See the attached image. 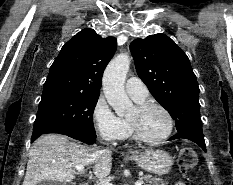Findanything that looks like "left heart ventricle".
Wrapping results in <instances>:
<instances>
[{"label": "left heart ventricle", "instance_id": "obj_1", "mask_svg": "<svg viewBox=\"0 0 233 185\" xmlns=\"http://www.w3.org/2000/svg\"><path fill=\"white\" fill-rule=\"evenodd\" d=\"M129 118L135 120L142 134L150 139L163 136L168 129L165 114L157 108H149L142 113L135 108Z\"/></svg>", "mask_w": 233, "mask_h": 185}]
</instances>
